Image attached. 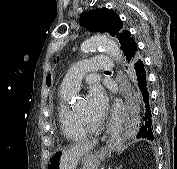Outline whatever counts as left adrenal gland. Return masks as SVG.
I'll return each instance as SVG.
<instances>
[{
    "label": "left adrenal gland",
    "instance_id": "obj_1",
    "mask_svg": "<svg viewBox=\"0 0 177 169\" xmlns=\"http://www.w3.org/2000/svg\"><path fill=\"white\" fill-rule=\"evenodd\" d=\"M122 168V166H119V167H117L116 169H121ZM109 169H112L111 167H109Z\"/></svg>",
    "mask_w": 177,
    "mask_h": 169
}]
</instances>
